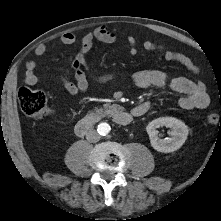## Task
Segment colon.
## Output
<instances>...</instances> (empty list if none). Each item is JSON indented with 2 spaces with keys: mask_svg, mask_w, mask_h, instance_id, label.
<instances>
[{
  "mask_svg": "<svg viewBox=\"0 0 221 221\" xmlns=\"http://www.w3.org/2000/svg\"><path fill=\"white\" fill-rule=\"evenodd\" d=\"M18 103L26 116L36 120L45 118L50 111L48 99L42 91L22 87L18 92ZM206 122L210 126L220 125L221 115L217 112H210L206 117Z\"/></svg>",
  "mask_w": 221,
  "mask_h": 221,
  "instance_id": "1",
  "label": "colon"
}]
</instances>
